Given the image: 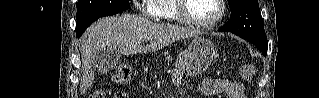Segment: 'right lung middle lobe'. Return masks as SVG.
<instances>
[{"mask_svg": "<svg viewBox=\"0 0 319 98\" xmlns=\"http://www.w3.org/2000/svg\"><path fill=\"white\" fill-rule=\"evenodd\" d=\"M129 8V0H78L76 19L105 13H118Z\"/></svg>", "mask_w": 319, "mask_h": 98, "instance_id": "dd1d6c3e", "label": "right lung middle lobe"}]
</instances>
